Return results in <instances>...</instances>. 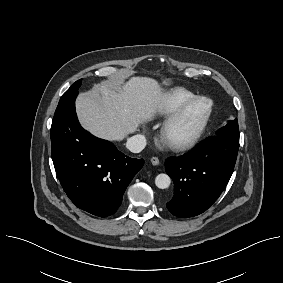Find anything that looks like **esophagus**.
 Wrapping results in <instances>:
<instances>
[{"label":"esophagus","instance_id":"34e87169","mask_svg":"<svg viewBox=\"0 0 283 283\" xmlns=\"http://www.w3.org/2000/svg\"><path fill=\"white\" fill-rule=\"evenodd\" d=\"M151 163L156 166V165H159L160 161L157 157H152Z\"/></svg>","mask_w":283,"mask_h":283}]
</instances>
